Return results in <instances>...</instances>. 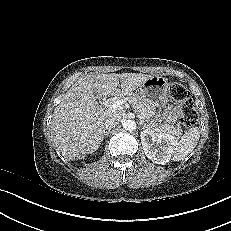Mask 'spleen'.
Masks as SVG:
<instances>
[{"mask_svg": "<svg viewBox=\"0 0 231 231\" xmlns=\"http://www.w3.org/2000/svg\"><path fill=\"white\" fill-rule=\"evenodd\" d=\"M200 131L197 127L189 128L173 149V160L180 161L187 157L197 146Z\"/></svg>", "mask_w": 231, "mask_h": 231, "instance_id": "obj_1", "label": "spleen"}]
</instances>
